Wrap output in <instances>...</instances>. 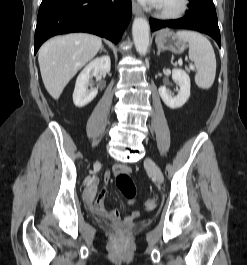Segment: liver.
Segmentation results:
<instances>
[{
	"label": "liver",
	"mask_w": 247,
	"mask_h": 265,
	"mask_svg": "<svg viewBox=\"0 0 247 265\" xmlns=\"http://www.w3.org/2000/svg\"><path fill=\"white\" fill-rule=\"evenodd\" d=\"M101 48V38L86 33L58 36L45 42L38 61L48 93L57 100L68 82Z\"/></svg>",
	"instance_id": "1"
}]
</instances>
